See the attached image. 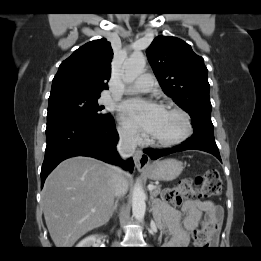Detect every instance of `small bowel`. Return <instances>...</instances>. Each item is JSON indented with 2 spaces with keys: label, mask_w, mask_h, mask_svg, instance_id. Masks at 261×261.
<instances>
[{
  "label": "small bowel",
  "mask_w": 261,
  "mask_h": 261,
  "mask_svg": "<svg viewBox=\"0 0 261 261\" xmlns=\"http://www.w3.org/2000/svg\"><path fill=\"white\" fill-rule=\"evenodd\" d=\"M162 212L169 215V219L165 222L167 230L176 236L182 235L183 231L193 232L197 230L203 216L218 226L223 217V212L218 205L211 201H201L198 199L186 200L179 210L164 206Z\"/></svg>",
  "instance_id": "obj_1"
}]
</instances>
